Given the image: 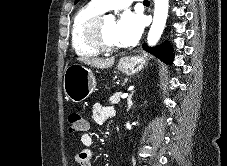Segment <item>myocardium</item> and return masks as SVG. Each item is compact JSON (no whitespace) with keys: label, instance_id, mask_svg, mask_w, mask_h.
I'll list each match as a JSON object with an SVG mask.
<instances>
[{"label":"myocardium","instance_id":"1","mask_svg":"<svg viewBox=\"0 0 227 166\" xmlns=\"http://www.w3.org/2000/svg\"><path fill=\"white\" fill-rule=\"evenodd\" d=\"M106 12L92 17L84 27V37L88 44L99 52H114L120 49V46H111L102 39V27L105 20L109 17Z\"/></svg>","mask_w":227,"mask_h":166}]
</instances>
